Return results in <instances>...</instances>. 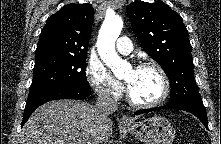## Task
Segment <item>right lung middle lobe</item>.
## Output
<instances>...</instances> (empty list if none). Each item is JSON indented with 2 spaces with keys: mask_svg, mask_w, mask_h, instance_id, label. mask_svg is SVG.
Listing matches in <instances>:
<instances>
[{
  "mask_svg": "<svg viewBox=\"0 0 221 144\" xmlns=\"http://www.w3.org/2000/svg\"><path fill=\"white\" fill-rule=\"evenodd\" d=\"M86 55L44 53L36 55L33 80L26 103L60 87L90 89L85 73Z\"/></svg>",
  "mask_w": 221,
  "mask_h": 144,
  "instance_id": "obj_1",
  "label": "right lung middle lobe"
}]
</instances>
